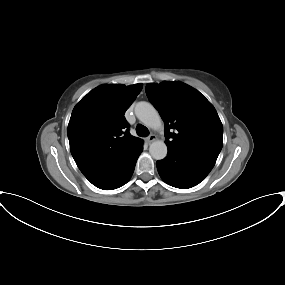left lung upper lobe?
I'll return each instance as SVG.
<instances>
[{"mask_svg":"<svg viewBox=\"0 0 285 285\" xmlns=\"http://www.w3.org/2000/svg\"><path fill=\"white\" fill-rule=\"evenodd\" d=\"M146 94L165 123L168 151L215 164L223 126L213 105L196 89L178 82L150 83Z\"/></svg>","mask_w":285,"mask_h":285,"instance_id":"left-lung-upper-lobe-1","label":"left lung upper lobe"}]
</instances>
